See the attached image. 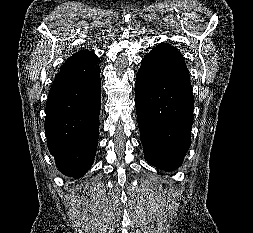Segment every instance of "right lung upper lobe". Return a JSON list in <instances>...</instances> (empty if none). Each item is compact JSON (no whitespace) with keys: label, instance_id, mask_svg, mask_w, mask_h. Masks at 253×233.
<instances>
[{"label":"right lung upper lobe","instance_id":"obj_1","mask_svg":"<svg viewBox=\"0 0 253 233\" xmlns=\"http://www.w3.org/2000/svg\"><path fill=\"white\" fill-rule=\"evenodd\" d=\"M98 57L89 50H81L69 57L60 70L87 69L97 65Z\"/></svg>","mask_w":253,"mask_h":233}]
</instances>
